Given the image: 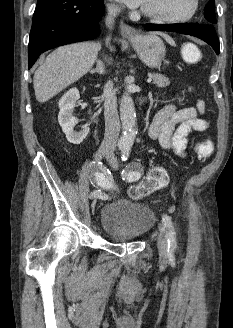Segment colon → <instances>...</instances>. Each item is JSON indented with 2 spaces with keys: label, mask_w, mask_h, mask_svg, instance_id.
<instances>
[{
  "label": "colon",
  "mask_w": 233,
  "mask_h": 328,
  "mask_svg": "<svg viewBox=\"0 0 233 328\" xmlns=\"http://www.w3.org/2000/svg\"><path fill=\"white\" fill-rule=\"evenodd\" d=\"M182 53L184 59L188 62H196L201 58L200 49L191 43L184 45ZM195 152L200 160H206L213 152V145L208 140L200 141L195 147ZM168 181L167 171L162 167H154L138 184L129 189V196L134 200L144 198L154 191L165 187Z\"/></svg>",
  "instance_id": "5ec220e1"
}]
</instances>
